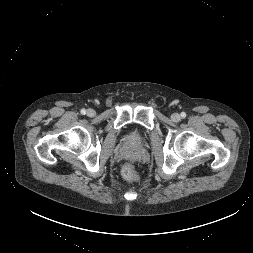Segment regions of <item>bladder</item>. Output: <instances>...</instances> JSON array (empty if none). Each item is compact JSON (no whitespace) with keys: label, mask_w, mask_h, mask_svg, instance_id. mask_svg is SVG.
<instances>
[{"label":"bladder","mask_w":253,"mask_h":253,"mask_svg":"<svg viewBox=\"0 0 253 253\" xmlns=\"http://www.w3.org/2000/svg\"><path fill=\"white\" fill-rule=\"evenodd\" d=\"M131 139L135 142H141L143 140V136L138 133H132Z\"/></svg>","instance_id":"bladder-1"}]
</instances>
